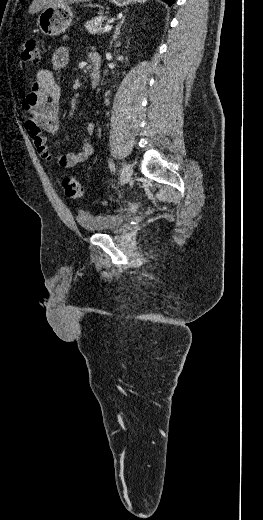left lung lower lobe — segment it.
I'll list each match as a JSON object with an SVG mask.
<instances>
[{
    "label": "left lung lower lobe",
    "instance_id": "obj_1",
    "mask_svg": "<svg viewBox=\"0 0 263 520\" xmlns=\"http://www.w3.org/2000/svg\"><path fill=\"white\" fill-rule=\"evenodd\" d=\"M165 1L166 3H168L169 5H172L174 3V0H163Z\"/></svg>",
    "mask_w": 263,
    "mask_h": 520
}]
</instances>
